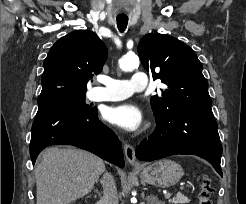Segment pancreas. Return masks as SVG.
Returning <instances> with one entry per match:
<instances>
[{"instance_id": "pancreas-1", "label": "pancreas", "mask_w": 246, "mask_h": 204, "mask_svg": "<svg viewBox=\"0 0 246 204\" xmlns=\"http://www.w3.org/2000/svg\"><path fill=\"white\" fill-rule=\"evenodd\" d=\"M172 202L174 204H186V203H189L190 200L187 197H185L184 195L178 194L175 198H173Z\"/></svg>"}]
</instances>
